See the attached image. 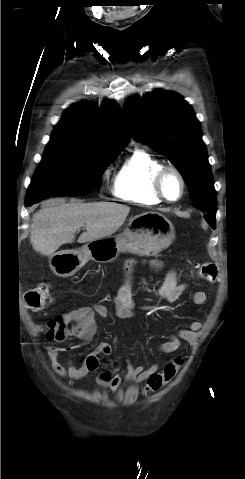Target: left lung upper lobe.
Segmentation results:
<instances>
[{
    "instance_id": "obj_1",
    "label": "left lung upper lobe",
    "mask_w": 245,
    "mask_h": 479,
    "mask_svg": "<svg viewBox=\"0 0 245 479\" xmlns=\"http://www.w3.org/2000/svg\"><path fill=\"white\" fill-rule=\"evenodd\" d=\"M124 116L133 137L165 155L186 182L193 204L204 212L216 210V191L201 126L183 98L154 90L142 100L124 106Z\"/></svg>"
}]
</instances>
